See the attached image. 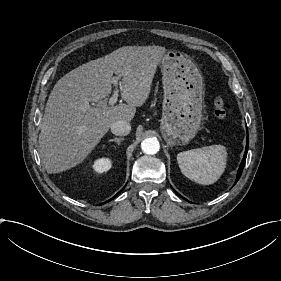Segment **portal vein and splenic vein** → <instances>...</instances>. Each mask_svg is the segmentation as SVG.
<instances>
[{
    "label": "portal vein and splenic vein",
    "mask_w": 281,
    "mask_h": 281,
    "mask_svg": "<svg viewBox=\"0 0 281 281\" xmlns=\"http://www.w3.org/2000/svg\"><path fill=\"white\" fill-rule=\"evenodd\" d=\"M116 82H117L116 78H113V83H116ZM117 99H118V94H117V92H115L113 94V96L109 98L108 105L109 106H114L116 104V102H117ZM83 108L85 110H87L88 112H90V113L95 112L96 110L99 109V107H94V106H91L90 104L84 105Z\"/></svg>",
    "instance_id": "1"
}]
</instances>
